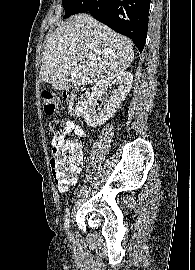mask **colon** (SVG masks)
<instances>
[{"mask_svg": "<svg viewBox=\"0 0 195 270\" xmlns=\"http://www.w3.org/2000/svg\"><path fill=\"white\" fill-rule=\"evenodd\" d=\"M87 97L88 93L83 88H72L64 92L63 98L72 116L79 117L82 115ZM41 98L44 112L47 115L55 114L59 106L58 96L50 91H43ZM50 130L54 137H65L66 122L55 118L50 122ZM82 158L83 152L76 139H68L54 150L51 159L52 173L54 182L60 191H66L74 183V176L79 171Z\"/></svg>", "mask_w": 195, "mask_h": 270, "instance_id": "obj_1", "label": "colon"}]
</instances>
